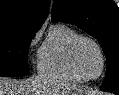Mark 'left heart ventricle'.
<instances>
[{"label":"left heart ventricle","instance_id":"left-heart-ventricle-1","mask_svg":"<svg viewBox=\"0 0 119 95\" xmlns=\"http://www.w3.org/2000/svg\"><path fill=\"white\" fill-rule=\"evenodd\" d=\"M77 64L87 76H96L101 69V57L96 47L83 42L77 50Z\"/></svg>","mask_w":119,"mask_h":95}]
</instances>
